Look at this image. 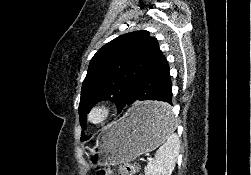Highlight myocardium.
<instances>
[{
  "instance_id": "f54148a6",
  "label": "myocardium",
  "mask_w": 251,
  "mask_h": 175,
  "mask_svg": "<svg viewBox=\"0 0 251 175\" xmlns=\"http://www.w3.org/2000/svg\"><path fill=\"white\" fill-rule=\"evenodd\" d=\"M96 111H101L103 116L100 120L93 119V114ZM118 107L115 103L108 100L94 102L87 111L88 122L96 127H103L111 123L117 116Z\"/></svg>"
}]
</instances>
